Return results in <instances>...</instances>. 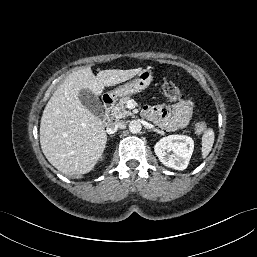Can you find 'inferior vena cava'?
Listing matches in <instances>:
<instances>
[{
  "instance_id": "inferior-vena-cava-1",
  "label": "inferior vena cava",
  "mask_w": 257,
  "mask_h": 257,
  "mask_svg": "<svg viewBox=\"0 0 257 257\" xmlns=\"http://www.w3.org/2000/svg\"><path fill=\"white\" fill-rule=\"evenodd\" d=\"M123 126L122 121H114L108 125L107 132L109 134L115 133L118 129H120Z\"/></svg>"
}]
</instances>
